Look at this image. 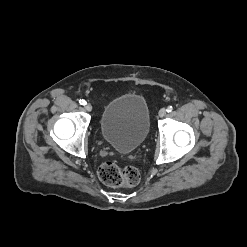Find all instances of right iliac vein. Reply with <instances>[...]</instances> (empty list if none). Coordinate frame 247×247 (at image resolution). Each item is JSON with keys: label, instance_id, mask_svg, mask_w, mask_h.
I'll use <instances>...</instances> for the list:
<instances>
[{"label": "right iliac vein", "instance_id": "right-iliac-vein-1", "mask_svg": "<svg viewBox=\"0 0 247 247\" xmlns=\"http://www.w3.org/2000/svg\"><path fill=\"white\" fill-rule=\"evenodd\" d=\"M85 109L90 112L92 110V105L90 103H86Z\"/></svg>", "mask_w": 247, "mask_h": 247}]
</instances>
